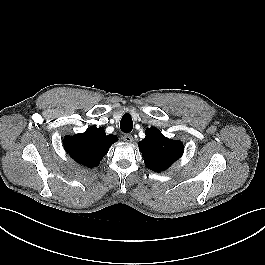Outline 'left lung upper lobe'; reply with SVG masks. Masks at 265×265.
Segmentation results:
<instances>
[{
    "label": "left lung upper lobe",
    "instance_id": "obj_1",
    "mask_svg": "<svg viewBox=\"0 0 265 265\" xmlns=\"http://www.w3.org/2000/svg\"><path fill=\"white\" fill-rule=\"evenodd\" d=\"M145 134L138 145L147 168L164 171L182 156L184 146L180 141L168 139L155 127L146 129Z\"/></svg>",
    "mask_w": 265,
    "mask_h": 265
}]
</instances>
